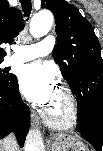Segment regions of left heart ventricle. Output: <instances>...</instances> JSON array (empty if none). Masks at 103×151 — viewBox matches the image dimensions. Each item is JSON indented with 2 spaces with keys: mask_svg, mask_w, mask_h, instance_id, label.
Masks as SVG:
<instances>
[{
  "mask_svg": "<svg viewBox=\"0 0 103 151\" xmlns=\"http://www.w3.org/2000/svg\"><path fill=\"white\" fill-rule=\"evenodd\" d=\"M47 110L51 115L57 118H61L65 115L66 112V103L64 97L59 91H57L53 101L47 107Z\"/></svg>",
  "mask_w": 103,
  "mask_h": 151,
  "instance_id": "b2bd125f",
  "label": "left heart ventricle"
}]
</instances>
